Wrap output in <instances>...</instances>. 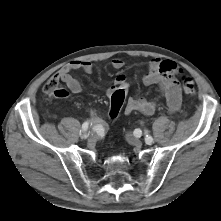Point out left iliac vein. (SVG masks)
Segmentation results:
<instances>
[{"label":"left iliac vein","mask_w":221,"mask_h":221,"mask_svg":"<svg viewBox=\"0 0 221 221\" xmlns=\"http://www.w3.org/2000/svg\"><path fill=\"white\" fill-rule=\"evenodd\" d=\"M125 137H126V140L131 145H134V146H137V147H141L142 146V141L139 138H137L136 136H134L131 132H127ZM152 143H153V139H152V142L150 144H152Z\"/></svg>","instance_id":"1"}]
</instances>
